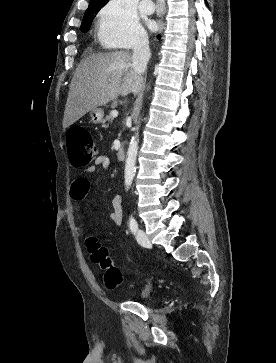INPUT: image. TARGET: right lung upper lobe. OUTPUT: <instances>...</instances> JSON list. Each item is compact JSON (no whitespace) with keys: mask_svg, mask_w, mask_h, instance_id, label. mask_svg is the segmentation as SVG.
Returning <instances> with one entry per match:
<instances>
[{"mask_svg":"<svg viewBox=\"0 0 276 363\" xmlns=\"http://www.w3.org/2000/svg\"><path fill=\"white\" fill-rule=\"evenodd\" d=\"M108 0H91L89 5H93V4H100V5H104Z\"/></svg>","mask_w":276,"mask_h":363,"instance_id":"obj_1","label":"right lung upper lobe"}]
</instances>
